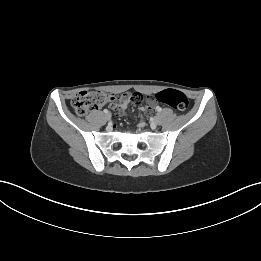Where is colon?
Listing matches in <instances>:
<instances>
[{
    "mask_svg": "<svg viewBox=\"0 0 261 261\" xmlns=\"http://www.w3.org/2000/svg\"><path fill=\"white\" fill-rule=\"evenodd\" d=\"M118 99L119 96L104 91H81L73 97L71 103L78 115H86L90 111ZM154 100L179 112L186 110L188 106L187 97L182 92L173 89L160 91L155 95Z\"/></svg>",
    "mask_w": 261,
    "mask_h": 261,
    "instance_id": "1",
    "label": "colon"
}]
</instances>
